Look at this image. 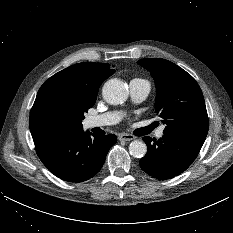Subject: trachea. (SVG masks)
<instances>
[{
  "label": "trachea",
  "mask_w": 233,
  "mask_h": 233,
  "mask_svg": "<svg viewBox=\"0 0 233 233\" xmlns=\"http://www.w3.org/2000/svg\"><path fill=\"white\" fill-rule=\"evenodd\" d=\"M156 126L155 125H152L151 128L154 129Z\"/></svg>",
  "instance_id": "obj_1"
}]
</instances>
